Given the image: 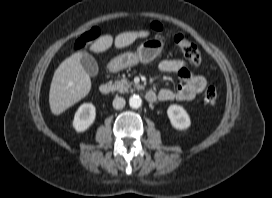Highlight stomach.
<instances>
[{"instance_id":"0dacf381","label":"stomach","mask_w":272,"mask_h":198,"mask_svg":"<svg viewBox=\"0 0 272 198\" xmlns=\"http://www.w3.org/2000/svg\"><path fill=\"white\" fill-rule=\"evenodd\" d=\"M163 47L164 42L161 38L146 40L141 43L136 52H124L113 58L108 64V69L111 72H118L138 63H150L161 54Z\"/></svg>"}]
</instances>
